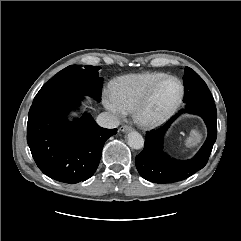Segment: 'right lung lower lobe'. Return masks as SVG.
<instances>
[{"label": "right lung lower lobe", "instance_id": "obj_1", "mask_svg": "<svg viewBox=\"0 0 241 241\" xmlns=\"http://www.w3.org/2000/svg\"><path fill=\"white\" fill-rule=\"evenodd\" d=\"M83 96L34 104L29 110L27 142L34 161L48 177L63 183H78L96 171L105 141L116 129L100 127L89 114L73 122L66 114Z\"/></svg>", "mask_w": 241, "mask_h": 241}]
</instances>
